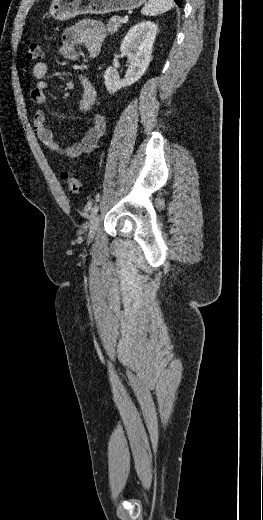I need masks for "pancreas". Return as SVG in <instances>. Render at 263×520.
I'll use <instances>...</instances> for the list:
<instances>
[{"mask_svg": "<svg viewBox=\"0 0 263 520\" xmlns=\"http://www.w3.org/2000/svg\"><path fill=\"white\" fill-rule=\"evenodd\" d=\"M122 18L119 16H112L107 24V30L109 33H115L122 25L120 21Z\"/></svg>", "mask_w": 263, "mask_h": 520, "instance_id": "1", "label": "pancreas"}]
</instances>
